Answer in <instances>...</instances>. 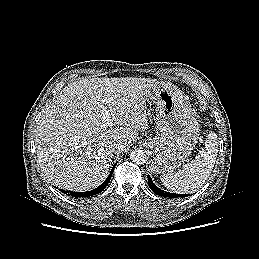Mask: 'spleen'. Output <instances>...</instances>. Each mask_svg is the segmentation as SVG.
I'll list each match as a JSON object with an SVG mask.
<instances>
[{
    "mask_svg": "<svg viewBox=\"0 0 259 259\" xmlns=\"http://www.w3.org/2000/svg\"><path fill=\"white\" fill-rule=\"evenodd\" d=\"M218 152L217 134L211 132L205 141L204 149L197 156L183 165L178 171L162 173L160 179L163 185L176 193H193L200 189L210 176L215 165Z\"/></svg>",
    "mask_w": 259,
    "mask_h": 259,
    "instance_id": "1",
    "label": "spleen"
}]
</instances>
